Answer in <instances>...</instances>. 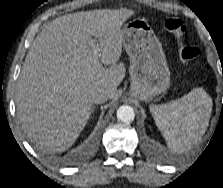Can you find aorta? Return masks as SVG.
Masks as SVG:
<instances>
[{"label":"aorta","instance_id":"1","mask_svg":"<svg viewBox=\"0 0 223 188\" xmlns=\"http://www.w3.org/2000/svg\"><path fill=\"white\" fill-rule=\"evenodd\" d=\"M117 118L118 120L129 123L132 122L135 118L134 110L131 106L122 105L117 110Z\"/></svg>","mask_w":223,"mask_h":188}]
</instances>
